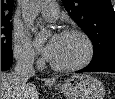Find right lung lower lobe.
<instances>
[{
    "mask_svg": "<svg viewBox=\"0 0 115 99\" xmlns=\"http://www.w3.org/2000/svg\"><path fill=\"white\" fill-rule=\"evenodd\" d=\"M13 63V58H1V71L8 70Z\"/></svg>",
    "mask_w": 115,
    "mask_h": 99,
    "instance_id": "obj_1",
    "label": "right lung lower lobe"
}]
</instances>
